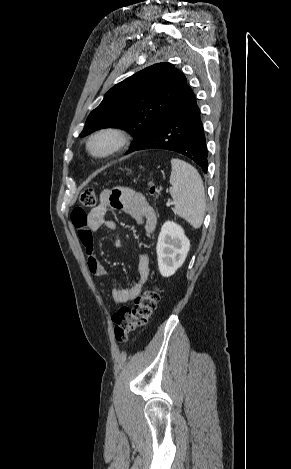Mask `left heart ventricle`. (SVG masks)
<instances>
[{"label": "left heart ventricle", "mask_w": 291, "mask_h": 469, "mask_svg": "<svg viewBox=\"0 0 291 469\" xmlns=\"http://www.w3.org/2000/svg\"><path fill=\"white\" fill-rule=\"evenodd\" d=\"M111 145V140L108 137H100L96 139L92 145L91 148L95 153H102L106 151Z\"/></svg>", "instance_id": "b2bd125f"}]
</instances>
